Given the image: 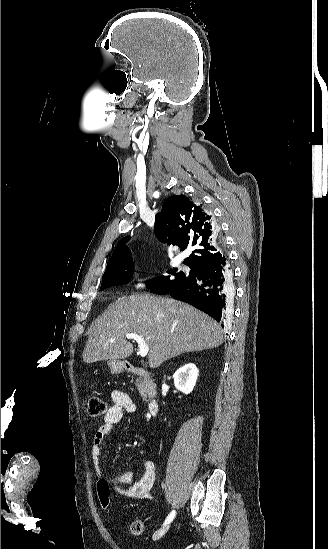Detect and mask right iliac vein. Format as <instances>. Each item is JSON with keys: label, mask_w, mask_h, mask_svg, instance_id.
<instances>
[{"label": "right iliac vein", "mask_w": 328, "mask_h": 549, "mask_svg": "<svg viewBox=\"0 0 328 549\" xmlns=\"http://www.w3.org/2000/svg\"><path fill=\"white\" fill-rule=\"evenodd\" d=\"M169 525H166L160 529H158L152 536V540L156 541L159 540L162 536L165 535V533L168 531Z\"/></svg>", "instance_id": "1"}]
</instances>
